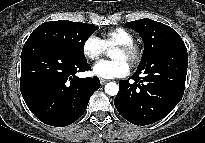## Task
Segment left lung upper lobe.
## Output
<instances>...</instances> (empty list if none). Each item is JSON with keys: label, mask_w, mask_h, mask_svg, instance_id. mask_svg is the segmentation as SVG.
<instances>
[{"label": "left lung upper lobe", "mask_w": 205, "mask_h": 143, "mask_svg": "<svg viewBox=\"0 0 205 143\" xmlns=\"http://www.w3.org/2000/svg\"><path fill=\"white\" fill-rule=\"evenodd\" d=\"M127 26H131L137 31L144 42V53L138 70H144L156 65L155 60L158 53L165 49L166 46L182 41L179 34L173 28L151 19L145 18L131 21L127 23Z\"/></svg>", "instance_id": "obj_1"}]
</instances>
